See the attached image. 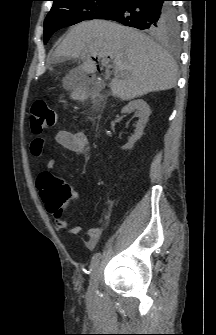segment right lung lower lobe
Masks as SVG:
<instances>
[{"label": "right lung lower lobe", "instance_id": "1", "mask_svg": "<svg viewBox=\"0 0 216 335\" xmlns=\"http://www.w3.org/2000/svg\"><path fill=\"white\" fill-rule=\"evenodd\" d=\"M167 0H117L96 19L117 21L126 26L159 33L163 25L177 24L176 12Z\"/></svg>", "mask_w": 216, "mask_h": 335}]
</instances>
